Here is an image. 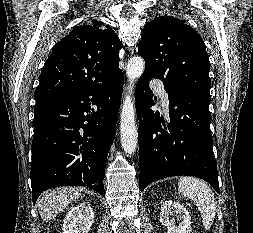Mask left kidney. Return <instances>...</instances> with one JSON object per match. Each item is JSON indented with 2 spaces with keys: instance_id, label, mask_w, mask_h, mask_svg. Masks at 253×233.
I'll list each match as a JSON object with an SVG mask.
<instances>
[{
  "instance_id": "left-kidney-1",
  "label": "left kidney",
  "mask_w": 253,
  "mask_h": 233,
  "mask_svg": "<svg viewBox=\"0 0 253 233\" xmlns=\"http://www.w3.org/2000/svg\"><path fill=\"white\" fill-rule=\"evenodd\" d=\"M177 215V223L169 215ZM160 223L167 227V233H191V218L184 206L175 200H166L161 206Z\"/></svg>"
}]
</instances>
